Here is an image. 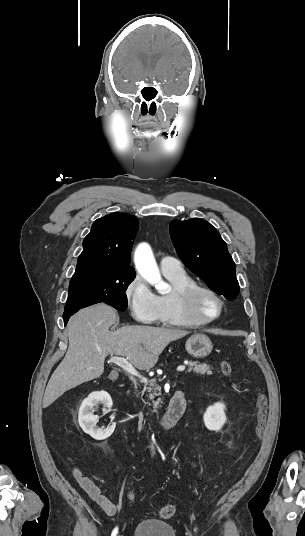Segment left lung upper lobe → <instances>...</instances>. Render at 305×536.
<instances>
[{"instance_id":"5c2ea615","label":"left lung upper lobe","mask_w":305,"mask_h":536,"mask_svg":"<svg viewBox=\"0 0 305 536\" xmlns=\"http://www.w3.org/2000/svg\"><path fill=\"white\" fill-rule=\"evenodd\" d=\"M170 235L177 254L193 273L217 294L236 298L240 289L236 265L214 226L199 218L173 220Z\"/></svg>"}]
</instances>
